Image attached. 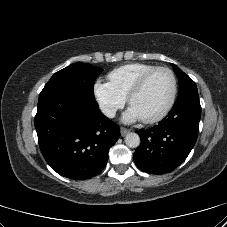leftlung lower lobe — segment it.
Masks as SVG:
<instances>
[{"mask_svg":"<svg viewBox=\"0 0 227 227\" xmlns=\"http://www.w3.org/2000/svg\"><path fill=\"white\" fill-rule=\"evenodd\" d=\"M201 106L197 90L178 97L166 118L149 130L137 131L141 139L133 158L150 174L176 169L192 150L199 129Z\"/></svg>","mask_w":227,"mask_h":227,"instance_id":"0a47b994","label":"left lung lower lobe"}]
</instances>
